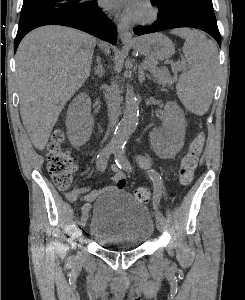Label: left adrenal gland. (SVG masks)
Returning a JSON list of instances; mask_svg holds the SVG:
<instances>
[{"label":"left adrenal gland","mask_w":245,"mask_h":300,"mask_svg":"<svg viewBox=\"0 0 245 300\" xmlns=\"http://www.w3.org/2000/svg\"><path fill=\"white\" fill-rule=\"evenodd\" d=\"M138 80L140 82V84H142L146 79H150V75L145 73L143 68L139 65L138 67Z\"/></svg>","instance_id":"obj_1"}]
</instances>
